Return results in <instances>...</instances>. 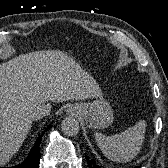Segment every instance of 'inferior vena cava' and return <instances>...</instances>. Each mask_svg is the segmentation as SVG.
<instances>
[{
	"instance_id": "obj_1",
	"label": "inferior vena cava",
	"mask_w": 168,
	"mask_h": 168,
	"mask_svg": "<svg viewBox=\"0 0 168 168\" xmlns=\"http://www.w3.org/2000/svg\"><path fill=\"white\" fill-rule=\"evenodd\" d=\"M49 108L47 105L42 104L34 107L29 111V117L32 120H39L49 114Z\"/></svg>"
}]
</instances>
